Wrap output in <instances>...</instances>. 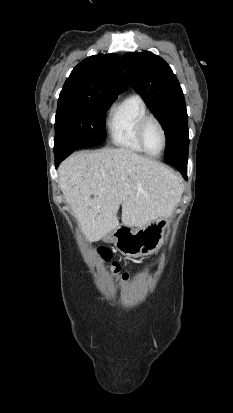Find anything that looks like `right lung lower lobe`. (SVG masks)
Wrapping results in <instances>:
<instances>
[{
    "mask_svg": "<svg viewBox=\"0 0 233 413\" xmlns=\"http://www.w3.org/2000/svg\"><path fill=\"white\" fill-rule=\"evenodd\" d=\"M73 150L67 151V152H61V153H56L55 154V166L56 168L59 166V164L67 157L69 156Z\"/></svg>",
    "mask_w": 233,
    "mask_h": 413,
    "instance_id": "right-lung-lower-lobe-1",
    "label": "right lung lower lobe"
}]
</instances>
